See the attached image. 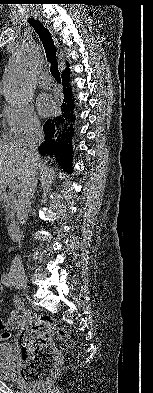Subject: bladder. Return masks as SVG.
Instances as JSON below:
<instances>
[{"label":"bladder","instance_id":"bladder-1","mask_svg":"<svg viewBox=\"0 0 153 393\" xmlns=\"http://www.w3.org/2000/svg\"><path fill=\"white\" fill-rule=\"evenodd\" d=\"M16 363L10 345L0 344V379L14 381Z\"/></svg>","mask_w":153,"mask_h":393}]
</instances>
